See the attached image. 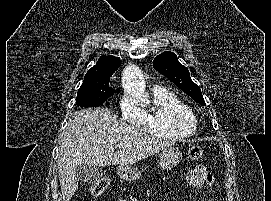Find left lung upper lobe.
Here are the masks:
<instances>
[{"label": "left lung upper lobe", "instance_id": "1", "mask_svg": "<svg viewBox=\"0 0 271 201\" xmlns=\"http://www.w3.org/2000/svg\"><path fill=\"white\" fill-rule=\"evenodd\" d=\"M153 67L183 90L194 101L206 105L200 87L193 83L188 69L183 66L173 52H164L153 61Z\"/></svg>", "mask_w": 271, "mask_h": 201}]
</instances>
